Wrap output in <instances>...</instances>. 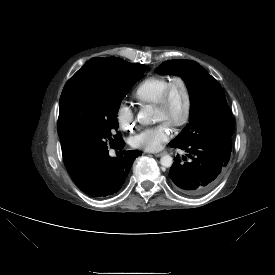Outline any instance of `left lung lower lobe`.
I'll return each instance as SVG.
<instances>
[{
	"label": "left lung lower lobe",
	"mask_w": 275,
	"mask_h": 275,
	"mask_svg": "<svg viewBox=\"0 0 275 275\" xmlns=\"http://www.w3.org/2000/svg\"><path fill=\"white\" fill-rule=\"evenodd\" d=\"M169 145L187 152L185 156L175 158L169 175L176 190L191 196L204 194L213 188L229 161L232 149L231 146L206 141Z\"/></svg>",
	"instance_id": "left-lung-lower-lobe-1"
}]
</instances>
